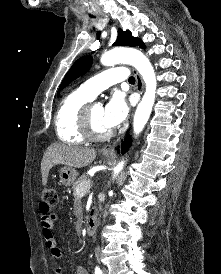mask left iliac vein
Here are the masks:
<instances>
[{
    "instance_id": "left-iliac-vein-1",
    "label": "left iliac vein",
    "mask_w": 221,
    "mask_h": 274,
    "mask_svg": "<svg viewBox=\"0 0 221 274\" xmlns=\"http://www.w3.org/2000/svg\"><path fill=\"white\" fill-rule=\"evenodd\" d=\"M103 274H108V271L106 269H104Z\"/></svg>"
}]
</instances>
